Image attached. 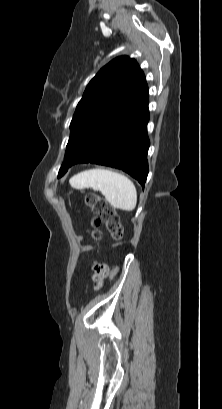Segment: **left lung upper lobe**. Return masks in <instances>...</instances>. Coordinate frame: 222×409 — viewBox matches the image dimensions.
<instances>
[{
	"label": "left lung upper lobe",
	"mask_w": 222,
	"mask_h": 409,
	"mask_svg": "<svg viewBox=\"0 0 222 409\" xmlns=\"http://www.w3.org/2000/svg\"><path fill=\"white\" fill-rule=\"evenodd\" d=\"M148 102V87L138 63L127 56L113 59L89 82L70 124V138L58 177L94 136L113 121L128 101Z\"/></svg>",
	"instance_id": "5c2ea615"
}]
</instances>
